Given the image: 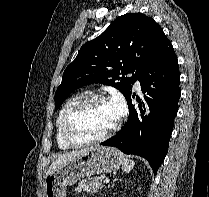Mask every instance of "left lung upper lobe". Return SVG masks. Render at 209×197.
Segmentation results:
<instances>
[{
  "label": "left lung upper lobe",
  "instance_id": "obj_1",
  "mask_svg": "<svg viewBox=\"0 0 209 197\" xmlns=\"http://www.w3.org/2000/svg\"><path fill=\"white\" fill-rule=\"evenodd\" d=\"M166 39L161 27L142 13L119 16L100 36L85 43L67 66L55 93V109L74 90L90 83L113 86L127 98ZM128 73L133 75L125 77Z\"/></svg>",
  "mask_w": 209,
  "mask_h": 197
}]
</instances>
